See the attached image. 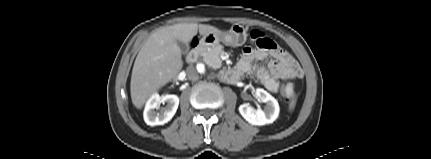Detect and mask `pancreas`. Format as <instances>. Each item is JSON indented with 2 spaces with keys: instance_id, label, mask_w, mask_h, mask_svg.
Returning <instances> with one entry per match:
<instances>
[{
  "instance_id": "pancreas-1",
  "label": "pancreas",
  "mask_w": 431,
  "mask_h": 159,
  "mask_svg": "<svg viewBox=\"0 0 431 159\" xmlns=\"http://www.w3.org/2000/svg\"><path fill=\"white\" fill-rule=\"evenodd\" d=\"M223 52V46L220 44L214 45L212 47H208L203 50L201 56L203 57V61L213 68H219L221 66L220 55Z\"/></svg>"
}]
</instances>
